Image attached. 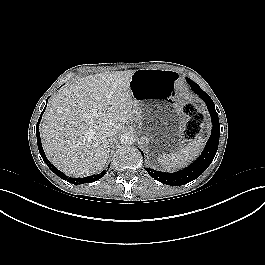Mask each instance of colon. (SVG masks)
I'll return each instance as SVG.
<instances>
[{
    "instance_id": "5ec220e1",
    "label": "colon",
    "mask_w": 265,
    "mask_h": 265,
    "mask_svg": "<svg viewBox=\"0 0 265 265\" xmlns=\"http://www.w3.org/2000/svg\"><path fill=\"white\" fill-rule=\"evenodd\" d=\"M181 110L182 113L188 117L184 130V137L186 139H193L201 132L204 115L195 105L189 102L183 103L181 105Z\"/></svg>"
}]
</instances>
